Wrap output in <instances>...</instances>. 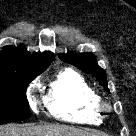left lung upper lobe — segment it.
<instances>
[{"label":"left lung upper lobe","instance_id":"1","mask_svg":"<svg viewBox=\"0 0 136 136\" xmlns=\"http://www.w3.org/2000/svg\"><path fill=\"white\" fill-rule=\"evenodd\" d=\"M59 57L65 62L75 65L82 71L93 74L97 80L105 87V89L109 91L107 87L106 73L98 66L96 58L92 53H67L60 54Z\"/></svg>","mask_w":136,"mask_h":136}]
</instances>
